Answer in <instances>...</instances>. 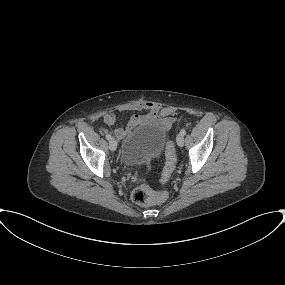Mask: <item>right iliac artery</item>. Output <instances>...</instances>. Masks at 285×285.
<instances>
[{"instance_id": "right-iliac-artery-1", "label": "right iliac artery", "mask_w": 285, "mask_h": 285, "mask_svg": "<svg viewBox=\"0 0 285 285\" xmlns=\"http://www.w3.org/2000/svg\"><path fill=\"white\" fill-rule=\"evenodd\" d=\"M106 139H107L108 141H110V140L112 139L111 135L107 134V135H106Z\"/></svg>"}]
</instances>
